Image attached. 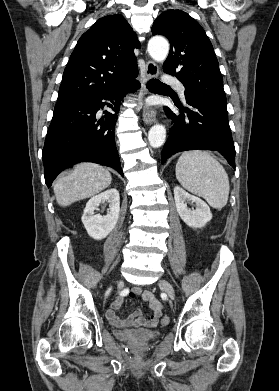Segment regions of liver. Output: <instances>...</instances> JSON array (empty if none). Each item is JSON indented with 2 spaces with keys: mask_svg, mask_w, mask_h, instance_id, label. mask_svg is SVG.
<instances>
[{
  "mask_svg": "<svg viewBox=\"0 0 279 391\" xmlns=\"http://www.w3.org/2000/svg\"><path fill=\"white\" fill-rule=\"evenodd\" d=\"M112 181L108 170L94 163L77 164L73 171L60 176L54 185L56 201L66 207L72 203L89 198L105 188Z\"/></svg>",
  "mask_w": 279,
  "mask_h": 391,
  "instance_id": "6515ba94",
  "label": "liver"
}]
</instances>
